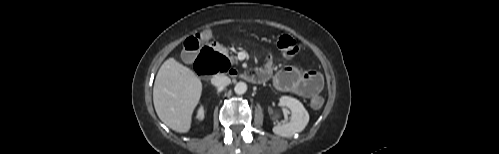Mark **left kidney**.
<instances>
[{"instance_id":"5707ae66","label":"left kidney","mask_w":499,"mask_h":154,"mask_svg":"<svg viewBox=\"0 0 499 154\" xmlns=\"http://www.w3.org/2000/svg\"><path fill=\"white\" fill-rule=\"evenodd\" d=\"M279 103L291 111V118L288 122H283L273 127V132L282 137H291L301 132L309 122V114L303 104L290 96H282Z\"/></svg>"}]
</instances>
